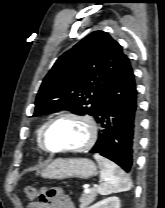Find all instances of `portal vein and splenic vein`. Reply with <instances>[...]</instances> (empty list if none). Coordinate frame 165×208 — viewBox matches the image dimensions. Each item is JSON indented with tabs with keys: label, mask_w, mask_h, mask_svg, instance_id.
<instances>
[{
	"label": "portal vein and splenic vein",
	"mask_w": 165,
	"mask_h": 208,
	"mask_svg": "<svg viewBox=\"0 0 165 208\" xmlns=\"http://www.w3.org/2000/svg\"><path fill=\"white\" fill-rule=\"evenodd\" d=\"M85 193H89L90 192V188L86 187L84 190Z\"/></svg>",
	"instance_id": "18ae733b"
}]
</instances>
